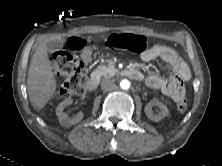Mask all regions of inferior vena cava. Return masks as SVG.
Instances as JSON below:
<instances>
[{
    "label": "inferior vena cava",
    "instance_id": "1",
    "mask_svg": "<svg viewBox=\"0 0 222 166\" xmlns=\"http://www.w3.org/2000/svg\"><path fill=\"white\" fill-rule=\"evenodd\" d=\"M101 88L105 91H111L116 88V85L113 80L111 79H104L101 82Z\"/></svg>",
    "mask_w": 222,
    "mask_h": 166
}]
</instances>
